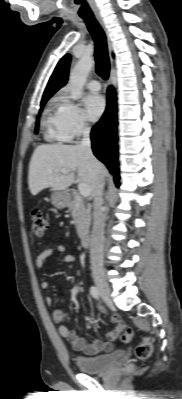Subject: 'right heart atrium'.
Masks as SVG:
<instances>
[{"label": "right heart atrium", "instance_id": "right-heart-atrium-1", "mask_svg": "<svg viewBox=\"0 0 182 399\" xmlns=\"http://www.w3.org/2000/svg\"><path fill=\"white\" fill-rule=\"evenodd\" d=\"M61 119L68 139L79 137L90 128L82 109L68 99L62 100Z\"/></svg>", "mask_w": 182, "mask_h": 399}]
</instances>
